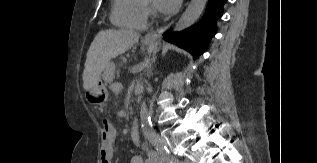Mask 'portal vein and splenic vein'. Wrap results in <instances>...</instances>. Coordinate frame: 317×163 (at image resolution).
<instances>
[{
	"label": "portal vein and splenic vein",
	"instance_id": "1",
	"mask_svg": "<svg viewBox=\"0 0 317 163\" xmlns=\"http://www.w3.org/2000/svg\"><path fill=\"white\" fill-rule=\"evenodd\" d=\"M117 90H120L123 88L122 84L120 82H117L114 86Z\"/></svg>",
	"mask_w": 317,
	"mask_h": 163
}]
</instances>
